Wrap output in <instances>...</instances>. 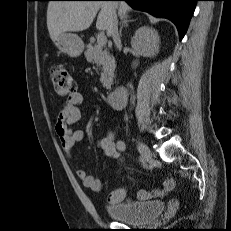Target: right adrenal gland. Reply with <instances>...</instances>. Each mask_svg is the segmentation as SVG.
I'll list each match as a JSON object with an SVG mask.
<instances>
[{
  "label": "right adrenal gland",
  "instance_id": "right-adrenal-gland-1",
  "mask_svg": "<svg viewBox=\"0 0 231 231\" xmlns=\"http://www.w3.org/2000/svg\"><path fill=\"white\" fill-rule=\"evenodd\" d=\"M134 20H128L127 18H121V22H120V30H119V34L120 36H122V29L123 27H127L129 22H133Z\"/></svg>",
  "mask_w": 231,
  "mask_h": 231
}]
</instances>
